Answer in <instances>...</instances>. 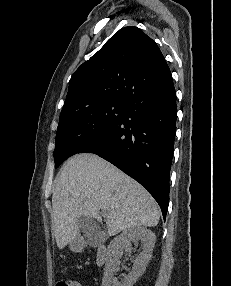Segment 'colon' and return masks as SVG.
<instances>
[{
  "label": "colon",
  "mask_w": 231,
  "mask_h": 286,
  "mask_svg": "<svg viewBox=\"0 0 231 286\" xmlns=\"http://www.w3.org/2000/svg\"><path fill=\"white\" fill-rule=\"evenodd\" d=\"M56 286H81V285L75 280H63L58 282Z\"/></svg>",
  "instance_id": "obj_1"
}]
</instances>
